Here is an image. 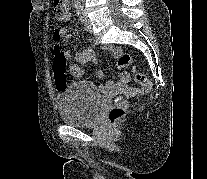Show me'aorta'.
Listing matches in <instances>:
<instances>
[{
  "label": "aorta",
  "instance_id": "aorta-1",
  "mask_svg": "<svg viewBox=\"0 0 207 179\" xmlns=\"http://www.w3.org/2000/svg\"><path fill=\"white\" fill-rule=\"evenodd\" d=\"M74 5H81L83 4L84 0H72Z\"/></svg>",
  "mask_w": 207,
  "mask_h": 179
}]
</instances>
